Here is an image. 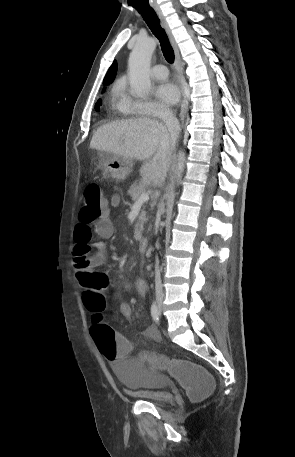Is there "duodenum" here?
<instances>
[{
  "label": "duodenum",
  "instance_id": "1",
  "mask_svg": "<svg viewBox=\"0 0 295 457\" xmlns=\"http://www.w3.org/2000/svg\"><path fill=\"white\" fill-rule=\"evenodd\" d=\"M149 240L147 238H141L139 240V249L141 252L145 253L148 249Z\"/></svg>",
  "mask_w": 295,
  "mask_h": 457
}]
</instances>
